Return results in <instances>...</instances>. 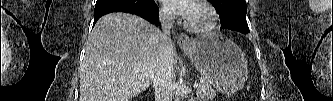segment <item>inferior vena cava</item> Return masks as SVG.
<instances>
[{
    "instance_id": "inferior-vena-cava-1",
    "label": "inferior vena cava",
    "mask_w": 333,
    "mask_h": 101,
    "mask_svg": "<svg viewBox=\"0 0 333 101\" xmlns=\"http://www.w3.org/2000/svg\"><path fill=\"white\" fill-rule=\"evenodd\" d=\"M160 22L163 34L158 44V58L153 87L155 89V101H171L174 62L173 43L170 38V30L173 27L172 13L167 9L161 10Z\"/></svg>"
}]
</instances>
